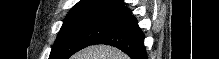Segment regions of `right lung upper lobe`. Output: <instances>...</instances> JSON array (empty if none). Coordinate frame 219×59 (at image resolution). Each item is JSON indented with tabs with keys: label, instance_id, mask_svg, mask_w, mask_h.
I'll return each instance as SVG.
<instances>
[{
	"label": "right lung upper lobe",
	"instance_id": "right-lung-upper-lobe-1",
	"mask_svg": "<svg viewBox=\"0 0 219 59\" xmlns=\"http://www.w3.org/2000/svg\"><path fill=\"white\" fill-rule=\"evenodd\" d=\"M122 4L123 0H80L67 16L82 12L113 11Z\"/></svg>",
	"mask_w": 219,
	"mask_h": 59
}]
</instances>
